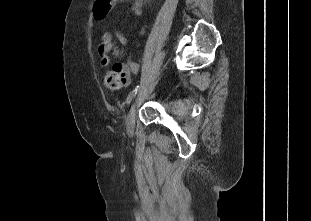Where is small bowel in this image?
Listing matches in <instances>:
<instances>
[{"mask_svg": "<svg viewBox=\"0 0 311 221\" xmlns=\"http://www.w3.org/2000/svg\"><path fill=\"white\" fill-rule=\"evenodd\" d=\"M130 0H114V3L118 2H129ZM132 10L134 14L138 17L142 15V0H133L132 1ZM113 35L116 36L119 41L120 47L123 49L127 45L126 37L118 30L112 32L106 31L102 34L101 42L98 46H108L109 52L113 50ZM100 56V65L102 67H107L110 63V59L108 56H103L102 53H98ZM126 74L128 75V79L131 73H137L139 70V66L136 62H134L131 58L127 60V63L124 65Z\"/></svg>", "mask_w": 311, "mask_h": 221, "instance_id": "1", "label": "small bowel"}]
</instances>
